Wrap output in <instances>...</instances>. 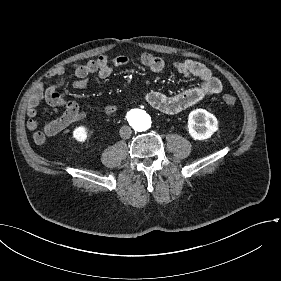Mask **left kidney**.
<instances>
[{
	"label": "left kidney",
	"instance_id": "obj_1",
	"mask_svg": "<svg viewBox=\"0 0 281 281\" xmlns=\"http://www.w3.org/2000/svg\"><path fill=\"white\" fill-rule=\"evenodd\" d=\"M187 130L194 140H208L219 130L218 120L204 109H195L188 115Z\"/></svg>",
	"mask_w": 281,
	"mask_h": 281
}]
</instances>
